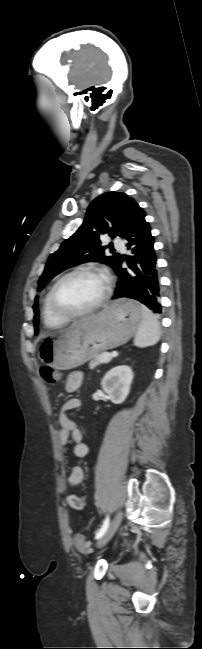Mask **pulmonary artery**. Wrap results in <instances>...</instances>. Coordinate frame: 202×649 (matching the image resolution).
I'll list each match as a JSON object with an SVG mask.
<instances>
[{
  "mask_svg": "<svg viewBox=\"0 0 202 649\" xmlns=\"http://www.w3.org/2000/svg\"><path fill=\"white\" fill-rule=\"evenodd\" d=\"M113 244H114L117 248H119V249H121V250H125L124 243H123L119 238H115V239L113 240Z\"/></svg>",
  "mask_w": 202,
  "mask_h": 649,
  "instance_id": "e3ab8cb5",
  "label": "pulmonary artery"
}]
</instances>
